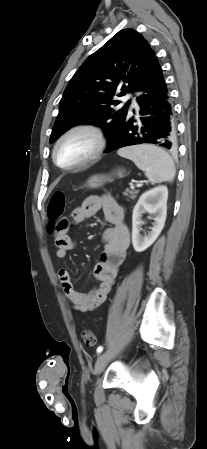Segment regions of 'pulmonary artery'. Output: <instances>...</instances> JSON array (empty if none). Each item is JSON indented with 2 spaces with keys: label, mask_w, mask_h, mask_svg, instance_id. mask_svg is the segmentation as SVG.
<instances>
[{
  "label": "pulmonary artery",
  "mask_w": 207,
  "mask_h": 449,
  "mask_svg": "<svg viewBox=\"0 0 207 449\" xmlns=\"http://www.w3.org/2000/svg\"><path fill=\"white\" fill-rule=\"evenodd\" d=\"M128 100H131V107L132 108H137V104H136L135 100L132 99L130 96H125L124 97V101H128Z\"/></svg>",
  "instance_id": "e3ab8cb5"
}]
</instances>
